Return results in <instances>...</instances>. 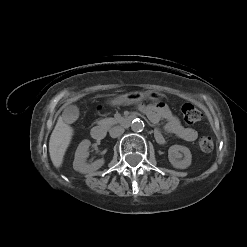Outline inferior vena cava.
<instances>
[{
	"instance_id": "obj_1",
	"label": "inferior vena cava",
	"mask_w": 247,
	"mask_h": 247,
	"mask_svg": "<svg viewBox=\"0 0 247 247\" xmlns=\"http://www.w3.org/2000/svg\"><path fill=\"white\" fill-rule=\"evenodd\" d=\"M124 133V128L121 126H115L110 129L109 134L112 138H116Z\"/></svg>"
}]
</instances>
